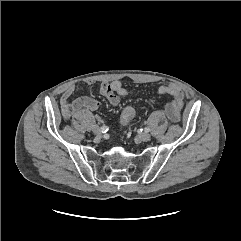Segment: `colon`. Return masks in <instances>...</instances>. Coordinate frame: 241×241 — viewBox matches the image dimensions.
I'll return each instance as SVG.
<instances>
[{"label":"colon","mask_w":241,"mask_h":241,"mask_svg":"<svg viewBox=\"0 0 241 241\" xmlns=\"http://www.w3.org/2000/svg\"><path fill=\"white\" fill-rule=\"evenodd\" d=\"M136 110L132 106H127L123 109L121 114V124L127 125L135 116Z\"/></svg>","instance_id":"1"}]
</instances>
